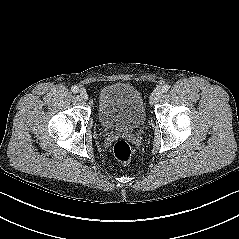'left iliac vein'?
<instances>
[{
    "instance_id": "obj_1",
    "label": "left iliac vein",
    "mask_w": 239,
    "mask_h": 239,
    "mask_svg": "<svg viewBox=\"0 0 239 239\" xmlns=\"http://www.w3.org/2000/svg\"><path fill=\"white\" fill-rule=\"evenodd\" d=\"M161 95H162V90L161 89L154 90L151 97H150V104L154 105L155 103H157L158 100L160 99Z\"/></svg>"
}]
</instances>
